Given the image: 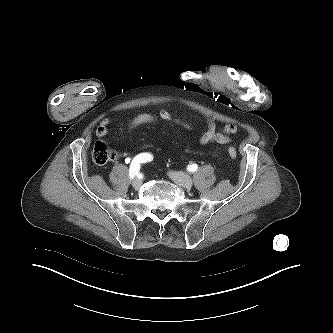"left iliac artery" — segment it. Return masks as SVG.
I'll return each instance as SVG.
<instances>
[{
    "label": "left iliac artery",
    "instance_id": "44dca946",
    "mask_svg": "<svg viewBox=\"0 0 333 333\" xmlns=\"http://www.w3.org/2000/svg\"><path fill=\"white\" fill-rule=\"evenodd\" d=\"M197 169H198V165H197V164H191V165H189L188 168H187V170H188L189 172H194V171H196Z\"/></svg>",
    "mask_w": 333,
    "mask_h": 333
}]
</instances>
